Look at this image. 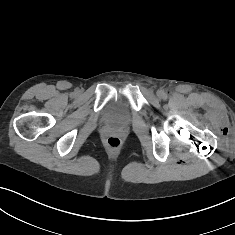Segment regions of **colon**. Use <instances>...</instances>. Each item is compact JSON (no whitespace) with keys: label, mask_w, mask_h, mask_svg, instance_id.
Wrapping results in <instances>:
<instances>
[{"label":"colon","mask_w":235,"mask_h":235,"mask_svg":"<svg viewBox=\"0 0 235 235\" xmlns=\"http://www.w3.org/2000/svg\"><path fill=\"white\" fill-rule=\"evenodd\" d=\"M106 143H107V146L112 150H116L120 148L121 146V140L116 136H110L107 139Z\"/></svg>","instance_id":"5ec220e1"}]
</instances>
